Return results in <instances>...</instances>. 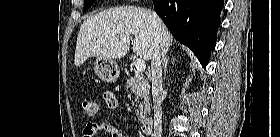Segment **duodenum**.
<instances>
[{
	"label": "duodenum",
	"mask_w": 280,
	"mask_h": 137,
	"mask_svg": "<svg viewBox=\"0 0 280 137\" xmlns=\"http://www.w3.org/2000/svg\"><path fill=\"white\" fill-rule=\"evenodd\" d=\"M153 119L147 118L142 122L141 130L146 134H151L153 130Z\"/></svg>",
	"instance_id": "obj_1"
}]
</instances>
